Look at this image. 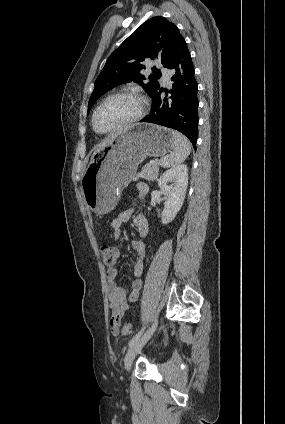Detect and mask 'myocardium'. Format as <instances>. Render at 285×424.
Returning <instances> with one entry per match:
<instances>
[{
  "instance_id": "obj_1",
  "label": "myocardium",
  "mask_w": 285,
  "mask_h": 424,
  "mask_svg": "<svg viewBox=\"0 0 285 424\" xmlns=\"http://www.w3.org/2000/svg\"><path fill=\"white\" fill-rule=\"evenodd\" d=\"M119 96H130V97L136 98L139 101V104H140L139 111L137 112V114L135 116H133L132 118H130L129 120H127L126 122L122 123L121 125H119L117 127L111 128V129L106 130V131L97 130L96 127H95V118H96L98 111L100 110V108L106 102H108L112 98L119 97ZM147 108H148L147 99L140 92H138L136 90H122V91H119V92H115L113 94L108 95L106 98H104L98 104V106L94 109V111L92 113V117H91L92 128L97 134H101V135L120 132V131L132 126L133 124L137 123L138 121H140L145 116V114L147 112Z\"/></svg>"
}]
</instances>
